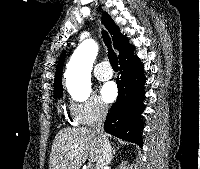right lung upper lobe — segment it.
<instances>
[{"mask_svg": "<svg viewBox=\"0 0 200 169\" xmlns=\"http://www.w3.org/2000/svg\"><path fill=\"white\" fill-rule=\"evenodd\" d=\"M103 22L107 29L109 30L110 34L112 35L114 48L119 51V60L128 57L129 55L133 54L134 47L129 44L128 39L126 36L121 34L120 29L111 19L107 12L103 13ZM65 59V53H62L60 61L56 68L55 79H54V93L55 92H63L62 86V67Z\"/></svg>", "mask_w": 200, "mask_h": 169, "instance_id": "cb5924a9", "label": "right lung upper lobe"}]
</instances>
